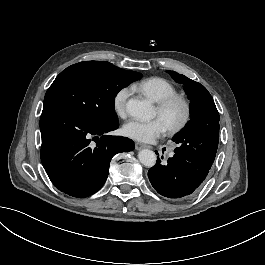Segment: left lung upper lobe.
<instances>
[{
    "label": "left lung upper lobe",
    "mask_w": 265,
    "mask_h": 265,
    "mask_svg": "<svg viewBox=\"0 0 265 265\" xmlns=\"http://www.w3.org/2000/svg\"><path fill=\"white\" fill-rule=\"evenodd\" d=\"M178 83L184 85L190 99L191 120L173 137L179 147L175 154L194 164H204L211 169L219 138V113L207 89L184 75L167 71Z\"/></svg>",
    "instance_id": "left-lung-upper-lobe-1"
}]
</instances>
